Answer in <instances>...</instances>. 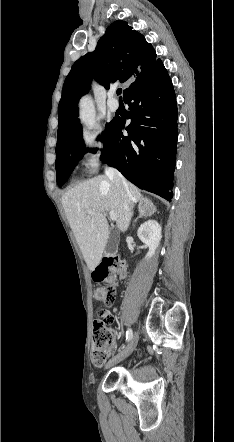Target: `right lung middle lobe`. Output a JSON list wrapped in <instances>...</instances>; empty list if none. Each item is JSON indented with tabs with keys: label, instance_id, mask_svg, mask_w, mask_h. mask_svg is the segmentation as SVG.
I'll return each mask as SVG.
<instances>
[{
	"label": "right lung middle lobe",
	"instance_id": "obj_1",
	"mask_svg": "<svg viewBox=\"0 0 234 442\" xmlns=\"http://www.w3.org/2000/svg\"><path fill=\"white\" fill-rule=\"evenodd\" d=\"M114 119L106 124V129L99 137V140L105 145L109 132L114 124ZM86 149L83 147L82 139V129L79 128L76 132L71 135L69 140L56 148V173H57V184L62 186L72 171L74 170L76 162L82 158L86 153Z\"/></svg>",
	"mask_w": 234,
	"mask_h": 442
}]
</instances>
